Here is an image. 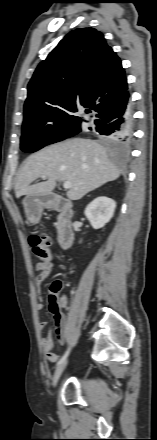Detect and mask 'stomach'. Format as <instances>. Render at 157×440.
<instances>
[{"label": "stomach", "mask_w": 157, "mask_h": 440, "mask_svg": "<svg viewBox=\"0 0 157 440\" xmlns=\"http://www.w3.org/2000/svg\"><path fill=\"white\" fill-rule=\"evenodd\" d=\"M23 205L28 220L31 223H38L43 208L47 206V201L42 195H28L23 200Z\"/></svg>", "instance_id": "obj_1"}]
</instances>
